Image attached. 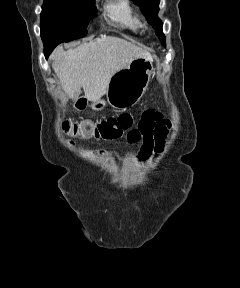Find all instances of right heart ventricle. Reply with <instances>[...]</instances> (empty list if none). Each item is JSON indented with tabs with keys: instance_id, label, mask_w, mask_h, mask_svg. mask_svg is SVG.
<instances>
[{
	"instance_id": "obj_1",
	"label": "right heart ventricle",
	"mask_w": 240,
	"mask_h": 288,
	"mask_svg": "<svg viewBox=\"0 0 240 288\" xmlns=\"http://www.w3.org/2000/svg\"><path fill=\"white\" fill-rule=\"evenodd\" d=\"M105 13L109 21L120 27L133 32L142 28V22L130 0H111L105 6Z\"/></svg>"
}]
</instances>
